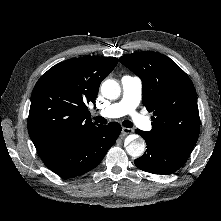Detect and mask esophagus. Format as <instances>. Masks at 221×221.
<instances>
[{
	"label": "esophagus",
	"instance_id": "obj_1",
	"mask_svg": "<svg viewBox=\"0 0 221 221\" xmlns=\"http://www.w3.org/2000/svg\"><path fill=\"white\" fill-rule=\"evenodd\" d=\"M132 132H133L132 129L126 128V127H122V134L123 135L131 134Z\"/></svg>",
	"mask_w": 221,
	"mask_h": 221
}]
</instances>
